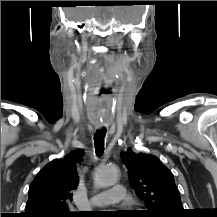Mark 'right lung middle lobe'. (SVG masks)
<instances>
[{
    "label": "right lung middle lobe",
    "instance_id": "obj_1",
    "mask_svg": "<svg viewBox=\"0 0 217 217\" xmlns=\"http://www.w3.org/2000/svg\"><path fill=\"white\" fill-rule=\"evenodd\" d=\"M59 217H76V215H62V216H59Z\"/></svg>",
    "mask_w": 217,
    "mask_h": 217
}]
</instances>
